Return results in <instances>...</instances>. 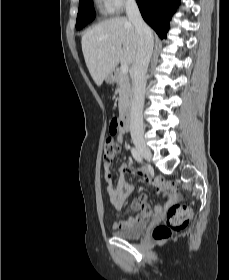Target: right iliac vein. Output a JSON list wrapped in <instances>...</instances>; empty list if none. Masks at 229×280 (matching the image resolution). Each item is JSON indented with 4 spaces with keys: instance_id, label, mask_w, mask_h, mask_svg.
<instances>
[{
    "instance_id": "right-iliac-vein-1",
    "label": "right iliac vein",
    "mask_w": 229,
    "mask_h": 280,
    "mask_svg": "<svg viewBox=\"0 0 229 280\" xmlns=\"http://www.w3.org/2000/svg\"><path fill=\"white\" fill-rule=\"evenodd\" d=\"M133 143L138 149L139 153L147 160L150 161L152 154L148 146L145 144V142L141 139H133Z\"/></svg>"
}]
</instances>
